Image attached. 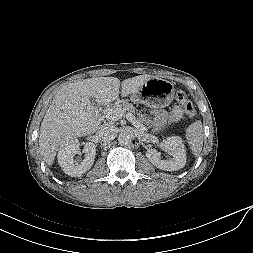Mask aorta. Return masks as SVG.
<instances>
[{
    "mask_svg": "<svg viewBox=\"0 0 253 253\" xmlns=\"http://www.w3.org/2000/svg\"><path fill=\"white\" fill-rule=\"evenodd\" d=\"M131 141V136L126 133V132H122L118 135V143L120 145H127L129 144Z\"/></svg>",
    "mask_w": 253,
    "mask_h": 253,
    "instance_id": "1",
    "label": "aorta"
}]
</instances>
